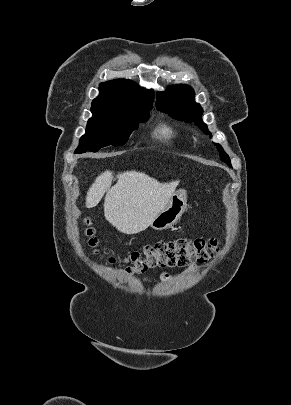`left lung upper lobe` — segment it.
I'll use <instances>...</instances> for the list:
<instances>
[{"label":"left lung upper lobe","instance_id":"1","mask_svg":"<svg viewBox=\"0 0 291 405\" xmlns=\"http://www.w3.org/2000/svg\"><path fill=\"white\" fill-rule=\"evenodd\" d=\"M156 106L158 110L168 113L172 118L184 120L185 122L195 121L196 125L204 133L210 134L207 125L201 120L203 113L199 104L194 101V91L188 85L171 86L167 91L157 95ZM211 137V134H210ZM219 150L220 158L231 166L230 158L219 144H215Z\"/></svg>","mask_w":291,"mask_h":405}]
</instances>
